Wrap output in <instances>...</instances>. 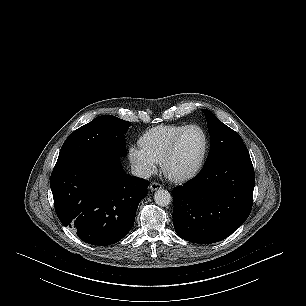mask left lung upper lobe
<instances>
[{
  "label": "left lung upper lobe",
  "mask_w": 306,
  "mask_h": 306,
  "mask_svg": "<svg viewBox=\"0 0 306 306\" xmlns=\"http://www.w3.org/2000/svg\"><path fill=\"white\" fill-rule=\"evenodd\" d=\"M202 111L205 114L211 136L210 151L205 165L226 157L249 154L237 132L223 124L211 111L207 109Z\"/></svg>",
  "instance_id": "1"
}]
</instances>
